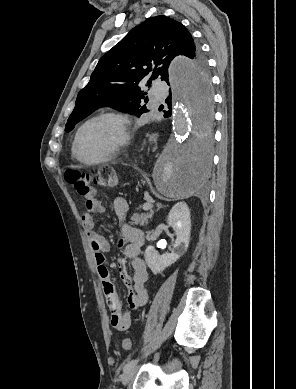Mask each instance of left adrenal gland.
I'll return each instance as SVG.
<instances>
[{
  "instance_id": "left-adrenal-gland-1",
  "label": "left adrenal gland",
  "mask_w": 296,
  "mask_h": 389,
  "mask_svg": "<svg viewBox=\"0 0 296 389\" xmlns=\"http://www.w3.org/2000/svg\"><path fill=\"white\" fill-rule=\"evenodd\" d=\"M156 205H157L158 209L162 208V204L157 203Z\"/></svg>"
}]
</instances>
